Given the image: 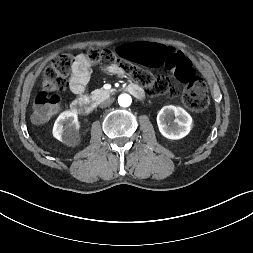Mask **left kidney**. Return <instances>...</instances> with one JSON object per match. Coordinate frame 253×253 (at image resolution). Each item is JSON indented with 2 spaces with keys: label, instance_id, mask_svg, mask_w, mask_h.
Returning <instances> with one entry per match:
<instances>
[{
  "label": "left kidney",
  "instance_id": "left-kidney-1",
  "mask_svg": "<svg viewBox=\"0 0 253 253\" xmlns=\"http://www.w3.org/2000/svg\"><path fill=\"white\" fill-rule=\"evenodd\" d=\"M160 133L167 139L178 140L189 134L193 120L186 110L178 106H164L157 115Z\"/></svg>",
  "mask_w": 253,
  "mask_h": 253
}]
</instances>
